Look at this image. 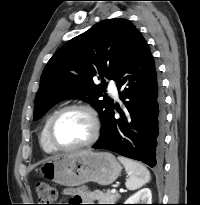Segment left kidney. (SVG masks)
<instances>
[{
  "mask_svg": "<svg viewBox=\"0 0 200 205\" xmlns=\"http://www.w3.org/2000/svg\"><path fill=\"white\" fill-rule=\"evenodd\" d=\"M152 193L149 188H143L129 197L124 204H152Z\"/></svg>",
  "mask_w": 200,
  "mask_h": 205,
  "instance_id": "obj_1",
  "label": "left kidney"
}]
</instances>
